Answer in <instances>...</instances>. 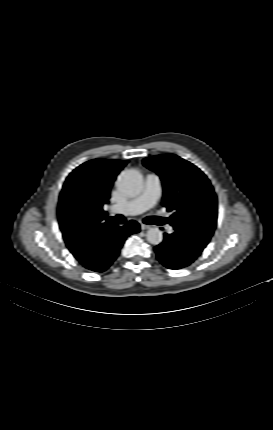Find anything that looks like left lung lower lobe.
<instances>
[{"label":"left lung lower lobe","mask_w":273,"mask_h":430,"mask_svg":"<svg viewBox=\"0 0 273 430\" xmlns=\"http://www.w3.org/2000/svg\"><path fill=\"white\" fill-rule=\"evenodd\" d=\"M155 251L159 261L173 270L190 265L202 252L182 240L177 232L165 234L163 242L155 247Z\"/></svg>","instance_id":"obj_1"}]
</instances>
